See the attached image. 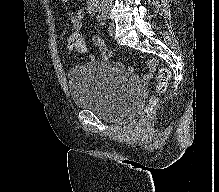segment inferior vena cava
Here are the masks:
<instances>
[{
  "mask_svg": "<svg viewBox=\"0 0 219 192\" xmlns=\"http://www.w3.org/2000/svg\"><path fill=\"white\" fill-rule=\"evenodd\" d=\"M101 1H102V3H104L106 5L112 2V0H101Z\"/></svg>",
  "mask_w": 219,
  "mask_h": 192,
  "instance_id": "obj_1",
  "label": "inferior vena cava"
}]
</instances>
